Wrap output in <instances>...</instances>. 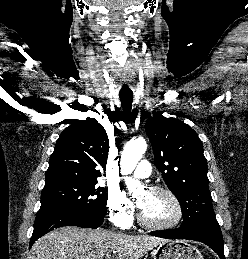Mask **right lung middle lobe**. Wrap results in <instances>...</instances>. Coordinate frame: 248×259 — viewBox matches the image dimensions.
I'll return each mask as SVG.
<instances>
[{
    "label": "right lung middle lobe",
    "mask_w": 248,
    "mask_h": 259,
    "mask_svg": "<svg viewBox=\"0 0 248 259\" xmlns=\"http://www.w3.org/2000/svg\"><path fill=\"white\" fill-rule=\"evenodd\" d=\"M97 180L57 181L46 183L41 192L42 208H57L78 212L89 218H101L107 213L105 189Z\"/></svg>",
    "instance_id": "dd1d6c3e"
}]
</instances>
